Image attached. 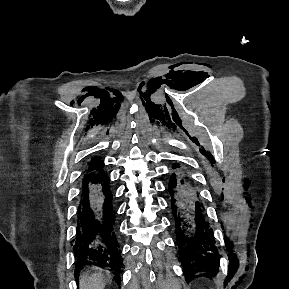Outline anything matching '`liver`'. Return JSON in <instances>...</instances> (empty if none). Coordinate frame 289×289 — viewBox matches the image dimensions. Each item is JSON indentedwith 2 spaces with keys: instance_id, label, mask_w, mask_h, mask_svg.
<instances>
[{
  "instance_id": "1",
  "label": "liver",
  "mask_w": 289,
  "mask_h": 289,
  "mask_svg": "<svg viewBox=\"0 0 289 289\" xmlns=\"http://www.w3.org/2000/svg\"><path fill=\"white\" fill-rule=\"evenodd\" d=\"M94 270V273L86 274L80 278V289H104L105 276L100 269L94 268Z\"/></svg>"
}]
</instances>
